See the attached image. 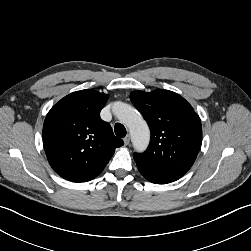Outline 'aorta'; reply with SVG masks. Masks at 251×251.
Returning a JSON list of instances; mask_svg holds the SVG:
<instances>
[{
  "label": "aorta",
  "instance_id": "aorta-1",
  "mask_svg": "<svg viewBox=\"0 0 251 251\" xmlns=\"http://www.w3.org/2000/svg\"><path fill=\"white\" fill-rule=\"evenodd\" d=\"M112 111L129 128L135 149L139 151L145 150L149 143L150 131L139 112L129 104L123 102H115Z\"/></svg>",
  "mask_w": 251,
  "mask_h": 251
}]
</instances>
